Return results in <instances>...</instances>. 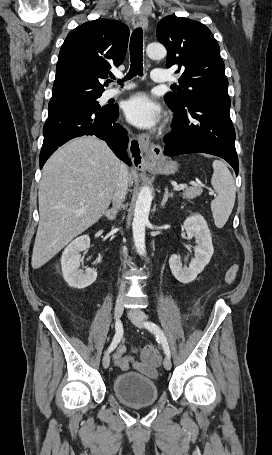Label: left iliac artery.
<instances>
[{
  "label": "left iliac artery",
  "mask_w": 272,
  "mask_h": 455,
  "mask_svg": "<svg viewBox=\"0 0 272 455\" xmlns=\"http://www.w3.org/2000/svg\"><path fill=\"white\" fill-rule=\"evenodd\" d=\"M145 327L156 335L157 340H159L162 343L164 353L166 354V356L168 358H170V356H171L170 348H169L167 339H166L163 331L161 330V328L153 322H146Z\"/></svg>",
  "instance_id": "1"
}]
</instances>
